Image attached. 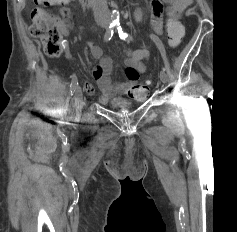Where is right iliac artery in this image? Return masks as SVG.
Returning <instances> with one entry per match:
<instances>
[{"mask_svg": "<svg viewBox=\"0 0 237 232\" xmlns=\"http://www.w3.org/2000/svg\"><path fill=\"white\" fill-rule=\"evenodd\" d=\"M113 31H114V25L111 24L108 29L106 30L105 32V35H104V40L105 41H109L112 36H113ZM71 84H70V96L73 95V93L75 92V90L77 89L78 87V80H77V77L75 74H73L71 76Z\"/></svg>", "mask_w": 237, "mask_h": 232, "instance_id": "82829eb1", "label": "right iliac artery"}]
</instances>
